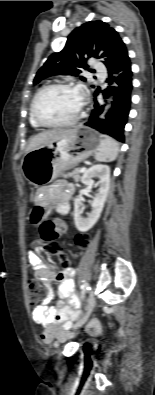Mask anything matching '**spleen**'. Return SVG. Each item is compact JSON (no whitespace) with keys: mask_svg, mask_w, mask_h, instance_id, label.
Instances as JSON below:
<instances>
[{"mask_svg":"<svg viewBox=\"0 0 155 395\" xmlns=\"http://www.w3.org/2000/svg\"><path fill=\"white\" fill-rule=\"evenodd\" d=\"M119 152L118 143L107 135H101L100 145L95 153V159L99 162H112Z\"/></svg>","mask_w":155,"mask_h":395,"instance_id":"spleen-1","label":"spleen"}]
</instances>
